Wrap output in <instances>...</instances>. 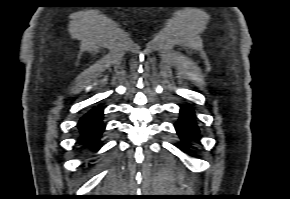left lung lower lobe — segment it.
Masks as SVG:
<instances>
[{
  "instance_id": "1",
  "label": "left lung lower lobe",
  "mask_w": 290,
  "mask_h": 199,
  "mask_svg": "<svg viewBox=\"0 0 290 199\" xmlns=\"http://www.w3.org/2000/svg\"><path fill=\"white\" fill-rule=\"evenodd\" d=\"M194 112L190 106H182L181 119L176 123V131L184 142L196 137L199 130L193 122Z\"/></svg>"
}]
</instances>
